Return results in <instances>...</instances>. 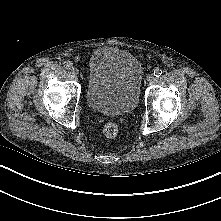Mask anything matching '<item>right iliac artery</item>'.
Masks as SVG:
<instances>
[{
    "instance_id": "obj_1",
    "label": "right iliac artery",
    "mask_w": 221,
    "mask_h": 221,
    "mask_svg": "<svg viewBox=\"0 0 221 221\" xmlns=\"http://www.w3.org/2000/svg\"><path fill=\"white\" fill-rule=\"evenodd\" d=\"M64 66H65V68H66L67 70H71V69L73 68V64H72L71 62H69V61L66 62Z\"/></svg>"
}]
</instances>
